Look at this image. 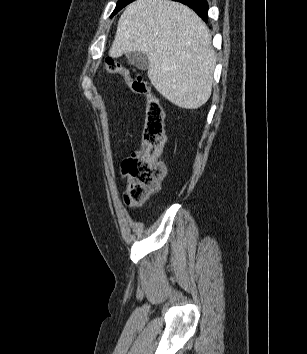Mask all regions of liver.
I'll return each instance as SVG.
<instances>
[{"mask_svg": "<svg viewBox=\"0 0 307 354\" xmlns=\"http://www.w3.org/2000/svg\"><path fill=\"white\" fill-rule=\"evenodd\" d=\"M212 38L189 7L170 0H136L121 15L109 55L142 52L148 77L168 101L197 109L211 96L216 65Z\"/></svg>", "mask_w": 307, "mask_h": 354, "instance_id": "obj_1", "label": "liver"}]
</instances>
